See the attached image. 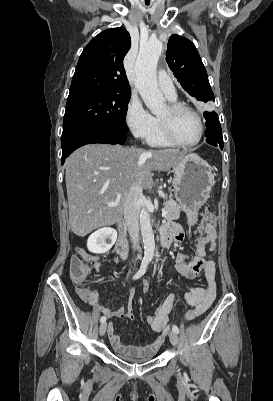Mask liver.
Segmentation results:
<instances>
[{"mask_svg": "<svg viewBox=\"0 0 273 401\" xmlns=\"http://www.w3.org/2000/svg\"><path fill=\"white\" fill-rule=\"evenodd\" d=\"M191 150H142L120 144H85L68 156L65 172L71 231L85 237L122 219L133 182L149 186L151 170H169ZM119 201V207H107Z\"/></svg>", "mask_w": 273, "mask_h": 401, "instance_id": "obj_1", "label": "liver"}]
</instances>
